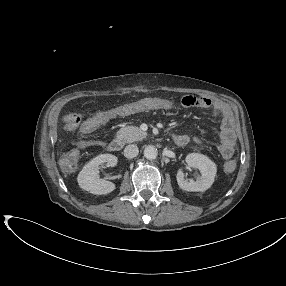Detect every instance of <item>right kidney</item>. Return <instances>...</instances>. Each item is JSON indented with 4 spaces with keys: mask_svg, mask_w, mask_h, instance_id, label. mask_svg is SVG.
<instances>
[{
    "mask_svg": "<svg viewBox=\"0 0 286 286\" xmlns=\"http://www.w3.org/2000/svg\"><path fill=\"white\" fill-rule=\"evenodd\" d=\"M107 163L108 166L117 164V157L112 154H101L88 162L79 172L77 181L79 186L95 195H105L115 189V184L99 178V167L101 164Z\"/></svg>",
    "mask_w": 286,
    "mask_h": 286,
    "instance_id": "ca27d5eb",
    "label": "right kidney"
}]
</instances>
